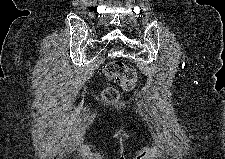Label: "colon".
I'll list each match as a JSON object with an SVG mask.
<instances>
[{"instance_id":"colon-1","label":"colon","mask_w":225,"mask_h":159,"mask_svg":"<svg viewBox=\"0 0 225 159\" xmlns=\"http://www.w3.org/2000/svg\"><path fill=\"white\" fill-rule=\"evenodd\" d=\"M103 73L107 79L119 81L121 87L126 91H130L136 87V71L122 61L113 60L108 62L104 66ZM103 97L107 101L114 100L117 97V92L113 89H106L103 92Z\"/></svg>"}]
</instances>
